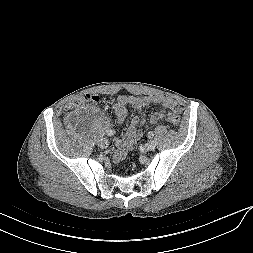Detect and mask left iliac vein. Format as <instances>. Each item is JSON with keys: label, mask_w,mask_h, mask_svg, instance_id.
<instances>
[{"label": "left iliac vein", "mask_w": 253, "mask_h": 253, "mask_svg": "<svg viewBox=\"0 0 253 253\" xmlns=\"http://www.w3.org/2000/svg\"><path fill=\"white\" fill-rule=\"evenodd\" d=\"M155 147H156V142H155L154 140H149V141L146 143V145H145V148H146V150H148V151L154 150Z\"/></svg>", "instance_id": "1"}]
</instances>
